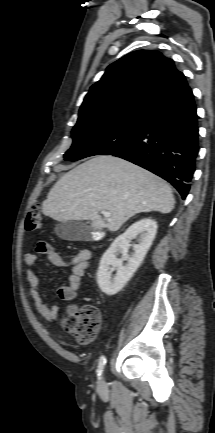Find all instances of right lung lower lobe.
I'll return each instance as SVG.
<instances>
[{
	"mask_svg": "<svg viewBox=\"0 0 215 433\" xmlns=\"http://www.w3.org/2000/svg\"><path fill=\"white\" fill-rule=\"evenodd\" d=\"M198 135L194 96L187 86L147 111L137 136L108 155L164 178L185 199L195 171Z\"/></svg>",
	"mask_w": 215,
	"mask_h": 433,
	"instance_id": "98d812e1",
	"label": "right lung lower lobe"
}]
</instances>
